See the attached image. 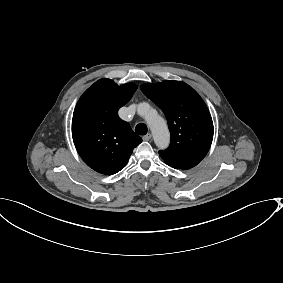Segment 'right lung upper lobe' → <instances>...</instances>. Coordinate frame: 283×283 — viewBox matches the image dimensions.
Returning <instances> with one entry per match:
<instances>
[{
	"instance_id": "right-lung-upper-lobe-1",
	"label": "right lung upper lobe",
	"mask_w": 283,
	"mask_h": 283,
	"mask_svg": "<svg viewBox=\"0 0 283 283\" xmlns=\"http://www.w3.org/2000/svg\"><path fill=\"white\" fill-rule=\"evenodd\" d=\"M136 89L133 83L118 86L103 78L83 93L75 107L72 119L75 147L83 161L99 173L119 172L142 142L117 114Z\"/></svg>"
}]
</instances>
